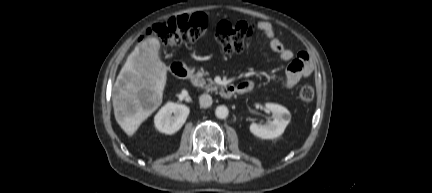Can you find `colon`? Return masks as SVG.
<instances>
[{"mask_svg":"<svg viewBox=\"0 0 432 193\" xmlns=\"http://www.w3.org/2000/svg\"><path fill=\"white\" fill-rule=\"evenodd\" d=\"M207 25L208 19L203 13L180 15L155 23L146 34L157 37L165 46L175 47L196 42L205 34ZM253 31V26L246 22L221 21L216 27L215 39L226 54H238L249 47ZM299 98L304 103L311 102L314 98L313 87L304 85Z\"/></svg>","mask_w":432,"mask_h":193,"instance_id":"5ec220e1","label":"colon"}]
</instances>
